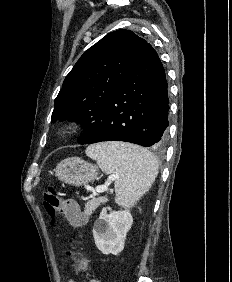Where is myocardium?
<instances>
[{"label": "myocardium", "mask_w": 232, "mask_h": 282, "mask_svg": "<svg viewBox=\"0 0 232 282\" xmlns=\"http://www.w3.org/2000/svg\"><path fill=\"white\" fill-rule=\"evenodd\" d=\"M82 128V123L81 121L77 120V119H71L68 120L67 122L63 123L60 127H59V134L61 136H74L76 135Z\"/></svg>", "instance_id": "obj_1"}]
</instances>
